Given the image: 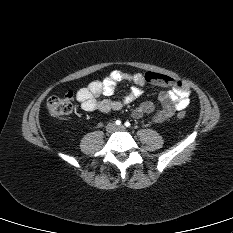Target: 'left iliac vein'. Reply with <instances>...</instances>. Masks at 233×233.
Returning <instances> with one entry per match:
<instances>
[{
  "label": "left iliac vein",
  "instance_id": "left-iliac-vein-1",
  "mask_svg": "<svg viewBox=\"0 0 233 233\" xmlns=\"http://www.w3.org/2000/svg\"><path fill=\"white\" fill-rule=\"evenodd\" d=\"M116 129L119 131H124L126 128L123 125H120Z\"/></svg>",
  "mask_w": 233,
  "mask_h": 233
}]
</instances>
